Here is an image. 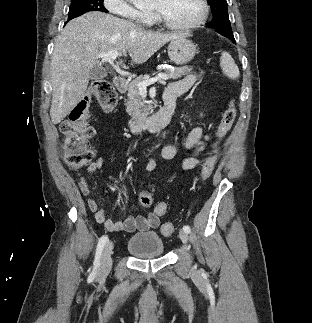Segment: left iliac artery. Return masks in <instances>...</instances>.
<instances>
[{
	"mask_svg": "<svg viewBox=\"0 0 312 323\" xmlns=\"http://www.w3.org/2000/svg\"><path fill=\"white\" fill-rule=\"evenodd\" d=\"M183 230L186 231L187 233H190V231H191V229H190V227L188 225H185L183 227Z\"/></svg>",
	"mask_w": 312,
	"mask_h": 323,
	"instance_id": "obj_1",
	"label": "left iliac artery"
}]
</instances>
